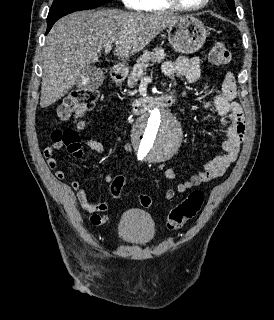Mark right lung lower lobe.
Segmentation results:
<instances>
[{"label":"right lung lower lobe","mask_w":274,"mask_h":320,"mask_svg":"<svg viewBox=\"0 0 274 320\" xmlns=\"http://www.w3.org/2000/svg\"><path fill=\"white\" fill-rule=\"evenodd\" d=\"M57 20H58V19H57ZM57 20L47 21V31H46V34L50 31V29L52 28V26L54 25V23H55Z\"/></svg>","instance_id":"obj_1"}]
</instances>
